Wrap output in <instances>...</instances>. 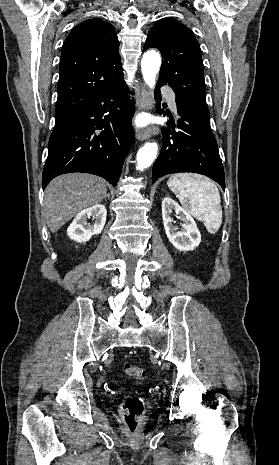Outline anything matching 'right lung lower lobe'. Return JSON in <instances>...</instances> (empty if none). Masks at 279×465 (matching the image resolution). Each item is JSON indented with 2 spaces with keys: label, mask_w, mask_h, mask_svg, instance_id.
Masks as SVG:
<instances>
[{
  "label": "right lung lower lobe",
  "mask_w": 279,
  "mask_h": 465,
  "mask_svg": "<svg viewBox=\"0 0 279 465\" xmlns=\"http://www.w3.org/2000/svg\"><path fill=\"white\" fill-rule=\"evenodd\" d=\"M128 93L123 80L61 124L49 140L43 189L54 177L69 172L95 174L117 185L122 162L134 142V101Z\"/></svg>",
  "instance_id": "98d812e1"
}]
</instances>
